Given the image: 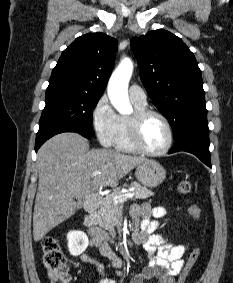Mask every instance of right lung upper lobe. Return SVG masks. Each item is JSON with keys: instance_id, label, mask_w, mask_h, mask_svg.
<instances>
[{"instance_id": "obj_1", "label": "right lung upper lobe", "mask_w": 233, "mask_h": 283, "mask_svg": "<svg viewBox=\"0 0 233 283\" xmlns=\"http://www.w3.org/2000/svg\"><path fill=\"white\" fill-rule=\"evenodd\" d=\"M117 40L104 33L78 37L61 54L48 87L102 95L112 72Z\"/></svg>"}]
</instances>
